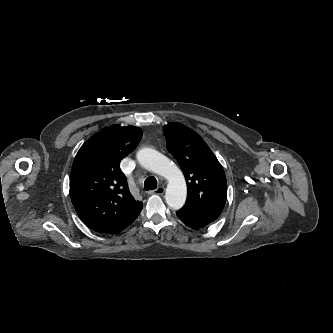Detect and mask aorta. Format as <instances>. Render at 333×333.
<instances>
[{
	"label": "aorta",
	"mask_w": 333,
	"mask_h": 333,
	"mask_svg": "<svg viewBox=\"0 0 333 333\" xmlns=\"http://www.w3.org/2000/svg\"><path fill=\"white\" fill-rule=\"evenodd\" d=\"M137 160L145 169L152 171L167 181L166 203L173 209L181 208L186 200L187 187L180 169L167 157L151 148H143L137 152Z\"/></svg>",
	"instance_id": "aorta-1"
}]
</instances>
